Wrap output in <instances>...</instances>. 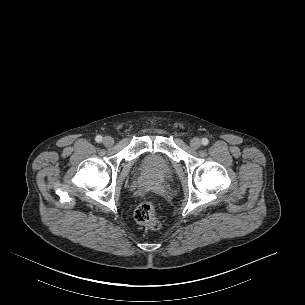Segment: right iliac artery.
I'll use <instances>...</instances> for the list:
<instances>
[{
    "label": "right iliac artery",
    "instance_id": "1",
    "mask_svg": "<svg viewBox=\"0 0 305 305\" xmlns=\"http://www.w3.org/2000/svg\"><path fill=\"white\" fill-rule=\"evenodd\" d=\"M96 142H101L102 141V136L98 135L95 138Z\"/></svg>",
    "mask_w": 305,
    "mask_h": 305
}]
</instances>
